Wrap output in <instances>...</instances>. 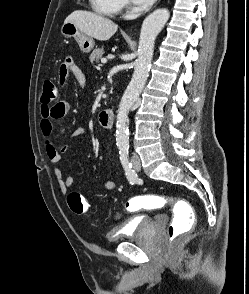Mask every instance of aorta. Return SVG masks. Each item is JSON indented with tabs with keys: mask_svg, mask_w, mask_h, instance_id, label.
I'll use <instances>...</instances> for the list:
<instances>
[{
	"mask_svg": "<svg viewBox=\"0 0 249 294\" xmlns=\"http://www.w3.org/2000/svg\"><path fill=\"white\" fill-rule=\"evenodd\" d=\"M169 17L170 13L167 9H157L143 21L139 38L138 58L135 61L133 76L118 107L116 121V143L118 147H128L129 145L128 113L143 90L151 67L155 39Z\"/></svg>",
	"mask_w": 249,
	"mask_h": 294,
	"instance_id": "obj_1",
	"label": "aorta"
}]
</instances>
